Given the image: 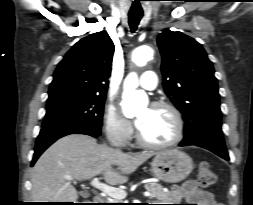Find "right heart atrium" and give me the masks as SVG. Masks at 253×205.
<instances>
[{
  "label": "right heart atrium",
  "instance_id": "right-heart-atrium-1",
  "mask_svg": "<svg viewBox=\"0 0 253 205\" xmlns=\"http://www.w3.org/2000/svg\"><path fill=\"white\" fill-rule=\"evenodd\" d=\"M103 129L109 140L118 144H126L132 136L131 122L115 107L107 106L102 117Z\"/></svg>",
  "mask_w": 253,
  "mask_h": 205
}]
</instances>
